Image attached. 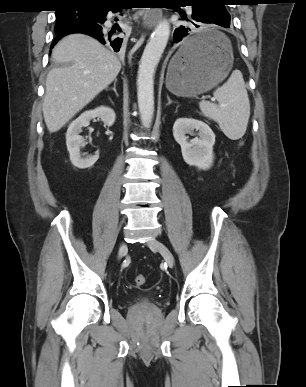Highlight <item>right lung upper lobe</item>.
I'll return each mask as SVG.
<instances>
[{"label": "right lung upper lobe", "mask_w": 306, "mask_h": 387, "mask_svg": "<svg viewBox=\"0 0 306 387\" xmlns=\"http://www.w3.org/2000/svg\"><path fill=\"white\" fill-rule=\"evenodd\" d=\"M118 0H60L61 9L70 8L74 5H82L92 8H105L115 5ZM60 10V9H59Z\"/></svg>", "instance_id": "1"}]
</instances>
